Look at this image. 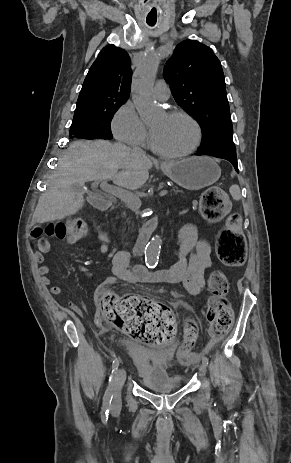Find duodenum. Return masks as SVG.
Wrapping results in <instances>:
<instances>
[{"label":"duodenum","instance_id":"obj_1","mask_svg":"<svg viewBox=\"0 0 291 463\" xmlns=\"http://www.w3.org/2000/svg\"><path fill=\"white\" fill-rule=\"evenodd\" d=\"M111 198L106 195H94L91 198V202L95 207H97L100 210H105L109 207L110 205ZM156 227V220L155 219H150L144 223V225L141 227L140 232H139V238L137 242L134 245V252L136 254H142L144 251V248L147 243L148 236L150 233L155 229ZM145 267V266H144ZM144 272L147 274H150L153 271H150L149 269H145Z\"/></svg>","mask_w":291,"mask_h":463}]
</instances>
